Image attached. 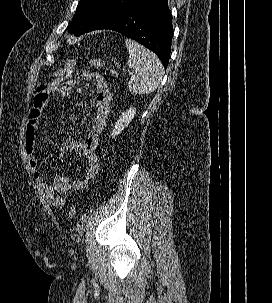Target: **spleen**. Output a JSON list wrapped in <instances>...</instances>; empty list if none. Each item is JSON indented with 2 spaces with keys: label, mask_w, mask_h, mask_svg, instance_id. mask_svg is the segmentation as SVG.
I'll return each mask as SVG.
<instances>
[{
  "label": "spleen",
  "mask_w": 272,
  "mask_h": 303,
  "mask_svg": "<svg viewBox=\"0 0 272 303\" xmlns=\"http://www.w3.org/2000/svg\"><path fill=\"white\" fill-rule=\"evenodd\" d=\"M125 44L129 52L127 65L133 70L128 82L129 90L141 95L154 92L164 76L161 61L136 41L125 39Z\"/></svg>",
  "instance_id": "3e777b00"
}]
</instances>
